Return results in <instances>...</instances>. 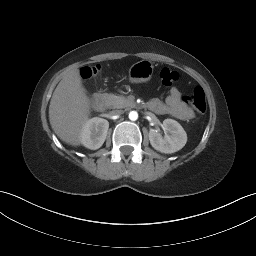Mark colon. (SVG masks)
Masks as SVG:
<instances>
[{"instance_id":"1","label":"colon","mask_w":256,"mask_h":256,"mask_svg":"<svg viewBox=\"0 0 256 256\" xmlns=\"http://www.w3.org/2000/svg\"><path fill=\"white\" fill-rule=\"evenodd\" d=\"M99 72L98 66H87L81 69V76L88 79ZM160 83L163 86H171L179 80V74L175 70L164 67L159 73ZM183 101L192 106L198 113L206 111V97L203 89L200 86L194 88L192 94L183 97Z\"/></svg>"}]
</instances>
